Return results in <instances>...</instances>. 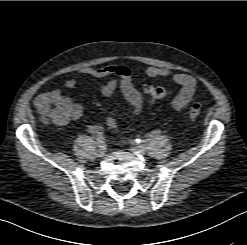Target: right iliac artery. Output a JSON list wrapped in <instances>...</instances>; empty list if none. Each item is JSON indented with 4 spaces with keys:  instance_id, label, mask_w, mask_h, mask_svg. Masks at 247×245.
<instances>
[{
    "instance_id": "obj_1",
    "label": "right iliac artery",
    "mask_w": 247,
    "mask_h": 245,
    "mask_svg": "<svg viewBox=\"0 0 247 245\" xmlns=\"http://www.w3.org/2000/svg\"><path fill=\"white\" fill-rule=\"evenodd\" d=\"M96 144L98 145V147H104L105 139H104V137L102 135H97Z\"/></svg>"
}]
</instances>
